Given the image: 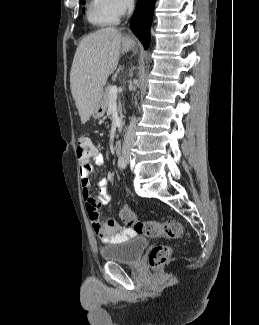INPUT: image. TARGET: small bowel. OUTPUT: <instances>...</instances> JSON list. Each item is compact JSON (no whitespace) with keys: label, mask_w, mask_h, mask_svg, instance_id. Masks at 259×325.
<instances>
[{"label":"small bowel","mask_w":259,"mask_h":325,"mask_svg":"<svg viewBox=\"0 0 259 325\" xmlns=\"http://www.w3.org/2000/svg\"><path fill=\"white\" fill-rule=\"evenodd\" d=\"M92 159L93 162L90 161ZM80 163V179L82 185V195L85 202V209L87 211L92 228L103 243H122L135 235V232L129 228L120 225L113 219L103 220L101 218L99 208L109 202V179L103 177L98 182L99 191L96 196L90 192L91 181L90 178L95 172L94 165L103 166L105 164L104 156L95 149L92 157ZM120 215V212H119Z\"/></svg>","instance_id":"1"}]
</instances>
